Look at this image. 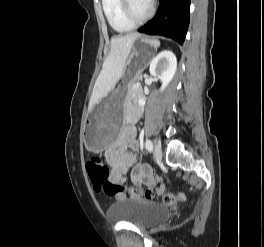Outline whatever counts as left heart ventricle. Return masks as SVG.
Returning a JSON list of instances; mask_svg holds the SVG:
<instances>
[{
  "label": "left heart ventricle",
  "mask_w": 264,
  "mask_h": 247,
  "mask_svg": "<svg viewBox=\"0 0 264 247\" xmlns=\"http://www.w3.org/2000/svg\"><path fill=\"white\" fill-rule=\"evenodd\" d=\"M149 4L145 0H131V7L136 16L144 15L149 9Z\"/></svg>",
  "instance_id": "b2bd125f"
}]
</instances>
